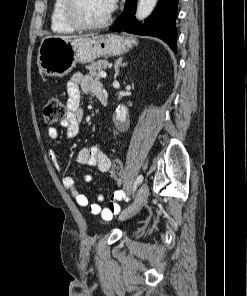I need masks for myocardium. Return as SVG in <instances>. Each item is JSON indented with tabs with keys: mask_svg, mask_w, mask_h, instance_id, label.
<instances>
[{
	"mask_svg": "<svg viewBox=\"0 0 247 296\" xmlns=\"http://www.w3.org/2000/svg\"><path fill=\"white\" fill-rule=\"evenodd\" d=\"M81 0H66L64 7V16L69 25L77 30H97L102 29L110 25L112 22V13L108 17L99 23H86L79 15V8Z\"/></svg>",
	"mask_w": 247,
	"mask_h": 296,
	"instance_id": "f54148a6",
	"label": "myocardium"
}]
</instances>
